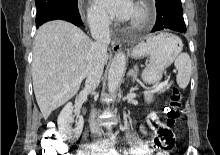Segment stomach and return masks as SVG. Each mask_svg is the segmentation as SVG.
Instances as JSON below:
<instances>
[{
    "mask_svg": "<svg viewBox=\"0 0 220 155\" xmlns=\"http://www.w3.org/2000/svg\"><path fill=\"white\" fill-rule=\"evenodd\" d=\"M183 47L179 37L168 32H160L146 38L132 51L133 58L148 55L149 65L142 73L143 79L150 84L158 82L163 71L168 68Z\"/></svg>",
    "mask_w": 220,
    "mask_h": 155,
    "instance_id": "1",
    "label": "stomach"
}]
</instances>
